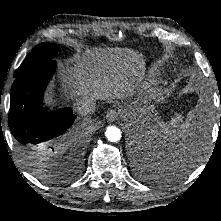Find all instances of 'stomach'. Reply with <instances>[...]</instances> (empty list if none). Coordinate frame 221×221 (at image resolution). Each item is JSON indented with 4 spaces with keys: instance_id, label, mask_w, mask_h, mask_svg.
Masks as SVG:
<instances>
[{
    "instance_id": "1",
    "label": "stomach",
    "mask_w": 221,
    "mask_h": 221,
    "mask_svg": "<svg viewBox=\"0 0 221 221\" xmlns=\"http://www.w3.org/2000/svg\"><path fill=\"white\" fill-rule=\"evenodd\" d=\"M150 110H151V106H147L146 108H143L144 113H149Z\"/></svg>"
}]
</instances>
